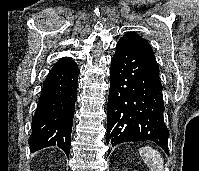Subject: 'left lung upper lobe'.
I'll return each instance as SVG.
<instances>
[{
	"label": "left lung upper lobe",
	"mask_w": 199,
	"mask_h": 171,
	"mask_svg": "<svg viewBox=\"0 0 199 171\" xmlns=\"http://www.w3.org/2000/svg\"><path fill=\"white\" fill-rule=\"evenodd\" d=\"M120 40L128 42L129 44L133 45L141 52H143L146 56H148L149 58H151L156 62L150 44L135 32H127Z\"/></svg>",
	"instance_id": "obj_1"
}]
</instances>
